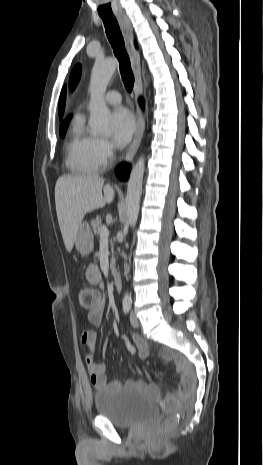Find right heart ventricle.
I'll return each mask as SVG.
<instances>
[{
	"label": "right heart ventricle",
	"mask_w": 263,
	"mask_h": 465,
	"mask_svg": "<svg viewBox=\"0 0 263 465\" xmlns=\"http://www.w3.org/2000/svg\"><path fill=\"white\" fill-rule=\"evenodd\" d=\"M97 139L81 120L73 122L66 144V164L72 172L94 174L103 169L105 164L97 154Z\"/></svg>",
	"instance_id": "e07e8e85"
}]
</instances>
